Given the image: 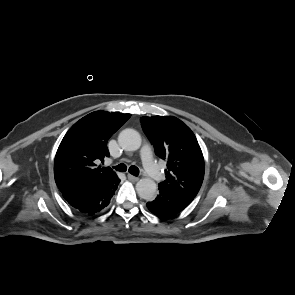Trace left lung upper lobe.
I'll list each match as a JSON object with an SVG mask.
<instances>
[{"mask_svg":"<svg viewBox=\"0 0 295 295\" xmlns=\"http://www.w3.org/2000/svg\"><path fill=\"white\" fill-rule=\"evenodd\" d=\"M142 128L163 159L166 180L159 188L195 198L204 178V158L191 129L172 116L142 117Z\"/></svg>","mask_w":295,"mask_h":295,"instance_id":"5c2ea615","label":"left lung upper lobe"}]
</instances>
